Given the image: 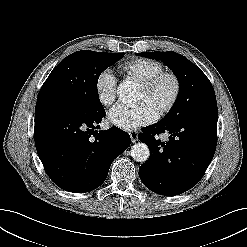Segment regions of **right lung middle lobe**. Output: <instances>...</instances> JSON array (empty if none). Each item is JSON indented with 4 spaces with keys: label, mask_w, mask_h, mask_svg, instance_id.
<instances>
[{
    "label": "right lung middle lobe",
    "mask_w": 247,
    "mask_h": 247,
    "mask_svg": "<svg viewBox=\"0 0 247 247\" xmlns=\"http://www.w3.org/2000/svg\"><path fill=\"white\" fill-rule=\"evenodd\" d=\"M123 56V53L90 50L70 54L52 70L44 82L37 100L57 98L87 113L104 112L98 97V78L106 68Z\"/></svg>",
    "instance_id": "1"
}]
</instances>
